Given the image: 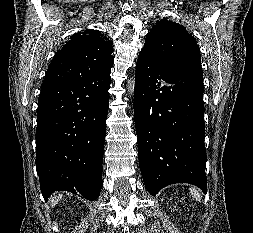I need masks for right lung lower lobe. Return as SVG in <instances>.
I'll return each mask as SVG.
<instances>
[{
	"mask_svg": "<svg viewBox=\"0 0 253 233\" xmlns=\"http://www.w3.org/2000/svg\"><path fill=\"white\" fill-rule=\"evenodd\" d=\"M110 71L42 86L36 170L45 200L55 191L99 197Z\"/></svg>",
	"mask_w": 253,
	"mask_h": 233,
	"instance_id": "1",
	"label": "right lung lower lobe"
}]
</instances>
